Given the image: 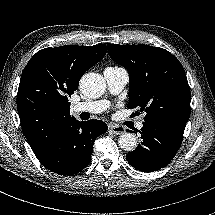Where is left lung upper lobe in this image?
<instances>
[{
    "label": "left lung upper lobe",
    "instance_id": "5c2ea615",
    "mask_svg": "<svg viewBox=\"0 0 215 215\" xmlns=\"http://www.w3.org/2000/svg\"><path fill=\"white\" fill-rule=\"evenodd\" d=\"M110 57L129 73V108L145 121L184 120L190 116V88L183 66L165 49L108 44Z\"/></svg>",
    "mask_w": 215,
    "mask_h": 215
}]
</instances>
